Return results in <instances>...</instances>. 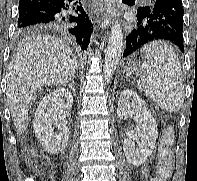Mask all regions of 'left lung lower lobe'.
I'll list each match as a JSON object with an SVG mask.
<instances>
[{
	"instance_id": "left-lung-lower-lobe-1",
	"label": "left lung lower lobe",
	"mask_w": 197,
	"mask_h": 181,
	"mask_svg": "<svg viewBox=\"0 0 197 181\" xmlns=\"http://www.w3.org/2000/svg\"><path fill=\"white\" fill-rule=\"evenodd\" d=\"M183 14L181 0H156L146 17L137 18L126 38L123 57L156 40L171 41L183 52Z\"/></svg>"
}]
</instances>
